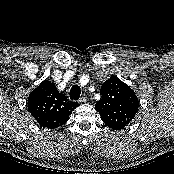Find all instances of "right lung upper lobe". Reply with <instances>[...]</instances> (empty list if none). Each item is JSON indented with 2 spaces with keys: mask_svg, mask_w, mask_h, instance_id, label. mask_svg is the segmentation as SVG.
<instances>
[{
  "mask_svg": "<svg viewBox=\"0 0 174 174\" xmlns=\"http://www.w3.org/2000/svg\"><path fill=\"white\" fill-rule=\"evenodd\" d=\"M77 102L67 100L59 93L55 84L47 79L40 83L28 96L27 107L31 115L43 128L55 129L68 121Z\"/></svg>",
  "mask_w": 174,
  "mask_h": 174,
  "instance_id": "obj_1",
  "label": "right lung upper lobe"
}]
</instances>
